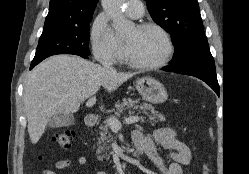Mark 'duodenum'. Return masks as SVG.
<instances>
[{
  "label": "duodenum",
  "instance_id": "obj_1",
  "mask_svg": "<svg viewBox=\"0 0 249 174\" xmlns=\"http://www.w3.org/2000/svg\"><path fill=\"white\" fill-rule=\"evenodd\" d=\"M97 123V118L92 115V114H89L86 116L85 118V125L89 128H92L96 125ZM136 146V157L139 158L140 156H142L144 154V144L142 143H137L135 144Z\"/></svg>",
  "mask_w": 249,
  "mask_h": 174
}]
</instances>
